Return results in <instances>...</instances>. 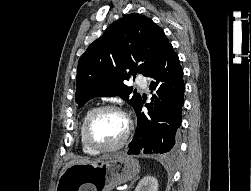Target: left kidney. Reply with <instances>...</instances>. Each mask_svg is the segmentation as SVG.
<instances>
[{
    "label": "left kidney",
    "instance_id": "5707ae66",
    "mask_svg": "<svg viewBox=\"0 0 251 191\" xmlns=\"http://www.w3.org/2000/svg\"><path fill=\"white\" fill-rule=\"evenodd\" d=\"M135 191H158V179L154 175H146L139 181Z\"/></svg>",
    "mask_w": 251,
    "mask_h": 191
}]
</instances>
